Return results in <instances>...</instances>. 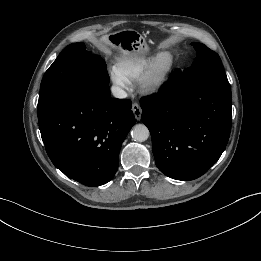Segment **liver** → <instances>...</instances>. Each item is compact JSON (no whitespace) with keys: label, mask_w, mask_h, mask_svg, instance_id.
Instances as JSON below:
<instances>
[{"label":"liver","mask_w":261,"mask_h":261,"mask_svg":"<svg viewBox=\"0 0 261 261\" xmlns=\"http://www.w3.org/2000/svg\"><path fill=\"white\" fill-rule=\"evenodd\" d=\"M98 46L101 48H111L114 45L109 41L108 35H104L98 40Z\"/></svg>","instance_id":"liver-1"}]
</instances>
